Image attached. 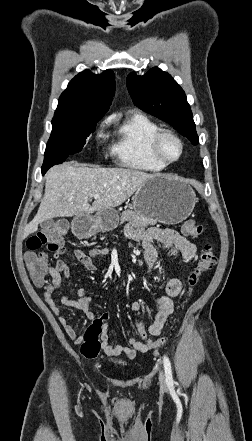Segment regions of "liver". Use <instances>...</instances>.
I'll list each match as a JSON object with an SVG mask.
<instances>
[{"instance_id": "6515ba94", "label": "liver", "mask_w": 252, "mask_h": 441, "mask_svg": "<svg viewBox=\"0 0 252 441\" xmlns=\"http://www.w3.org/2000/svg\"><path fill=\"white\" fill-rule=\"evenodd\" d=\"M154 176L134 169L77 167L71 163L55 166L46 174L43 199L23 237L36 232L45 220L89 215L120 206ZM94 194L100 198L91 206L88 201Z\"/></svg>"}]
</instances>
